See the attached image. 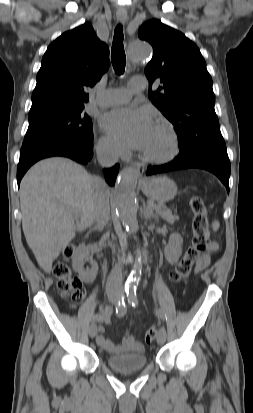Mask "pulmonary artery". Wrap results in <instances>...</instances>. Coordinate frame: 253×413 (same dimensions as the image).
Listing matches in <instances>:
<instances>
[{"label":"pulmonary artery","mask_w":253,"mask_h":413,"mask_svg":"<svg viewBox=\"0 0 253 413\" xmlns=\"http://www.w3.org/2000/svg\"><path fill=\"white\" fill-rule=\"evenodd\" d=\"M143 88V84L132 80L128 89L116 88L101 92L97 97V103L104 107L119 105L127 102L132 94L140 92Z\"/></svg>","instance_id":"obj_1"}]
</instances>
